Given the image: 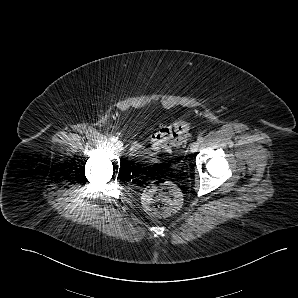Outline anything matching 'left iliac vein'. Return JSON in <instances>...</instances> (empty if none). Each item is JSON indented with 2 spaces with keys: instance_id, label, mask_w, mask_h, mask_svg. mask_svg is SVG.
Segmentation results:
<instances>
[{
  "instance_id": "1",
  "label": "left iliac vein",
  "mask_w": 298,
  "mask_h": 298,
  "mask_svg": "<svg viewBox=\"0 0 298 298\" xmlns=\"http://www.w3.org/2000/svg\"><path fill=\"white\" fill-rule=\"evenodd\" d=\"M199 149V142H193L190 146L191 152H196Z\"/></svg>"
}]
</instances>
